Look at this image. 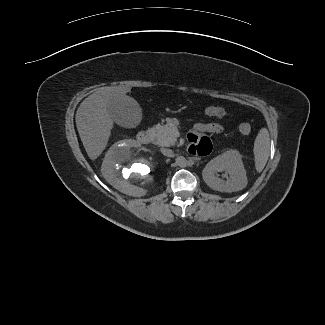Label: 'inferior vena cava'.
<instances>
[{"label": "inferior vena cava", "mask_w": 325, "mask_h": 325, "mask_svg": "<svg viewBox=\"0 0 325 325\" xmlns=\"http://www.w3.org/2000/svg\"><path fill=\"white\" fill-rule=\"evenodd\" d=\"M161 152L164 156H167V157H173L174 156V152L170 149H161Z\"/></svg>", "instance_id": "602c4592"}]
</instances>
